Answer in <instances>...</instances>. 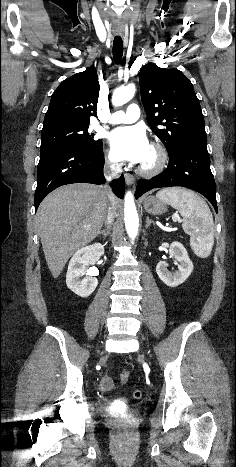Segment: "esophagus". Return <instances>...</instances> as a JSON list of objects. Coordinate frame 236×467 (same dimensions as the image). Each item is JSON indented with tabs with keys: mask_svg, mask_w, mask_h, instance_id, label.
<instances>
[{
	"mask_svg": "<svg viewBox=\"0 0 236 467\" xmlns=\"http://www.w3.org/2000/svg\"><path fill=\"white\" fill-rule=\"evenodd\" d=\"M124 178H125V182L128 186H131L134 184L135 182V178L133 175L129 174V173H125L124 175Z\"/></svg>",
	"mask_w": 236,
	"mask_h": 467,
	"instance_id": "34e87169",
	"label": "esophagus"
}]
</instances>
